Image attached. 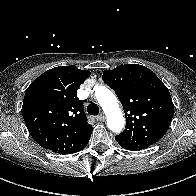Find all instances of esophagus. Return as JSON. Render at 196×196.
Returning a JSON list of instances; mask_svg holds the SVG:
<instances>
[{
	"label": "esophagus",
	"mask_w": 196,
	"mask_h": 196,
	"mask_svg": "<svg viewBox=\"0 0 196 196\" xmlns=\"http://www.w3.org/2000/svg\"><path fill=\"white\" fill-rule=\"evenodd\" d=\"M96 120L100 121V122H103V121H105V116L103 114H101V115L96 117Z\"/></svg>",
	"instance_id": "obj_1"
}]
</instances>
